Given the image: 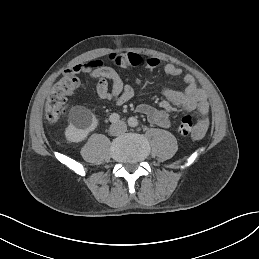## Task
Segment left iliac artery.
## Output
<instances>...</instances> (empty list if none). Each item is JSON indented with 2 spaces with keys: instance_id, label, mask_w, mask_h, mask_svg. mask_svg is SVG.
I'll return each mask as SVG.
<instances>
[{
  "instance_id": "left-iliac-artery-1",
  "label": "left iliac artery",
  "mask_w": 259,
  "mask_h": 259,
  "mask_svg": "<svg viewBox=\"0 0 259 259\" xmlns=\"http://www.w3.org/2000/svg\"><path fill=\"white\" fill-rule=\"evenodd\" d=\"M128 124L130 127H137L138 126V120L135 117H130L128 119Z\"/></svg>"
}]
</instances>
